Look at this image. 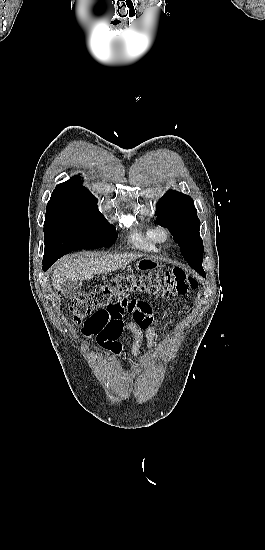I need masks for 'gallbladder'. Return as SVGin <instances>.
<instances>
[{"label": "gallbladder", "mask_w": 265, "mask_h": 550, "mask_svg": "<svg viewBox=\"0 0 265 550\" xmlns=\"http://www.w3.org/2000/svg\"><path fill=\"white\" fill-rule=\"evenodd\" d=\"M81 292V284L78 282H68L62 286V293L67 298H75Z\"/></svg>", "instance_id": "obj_1"}]
</instances>
